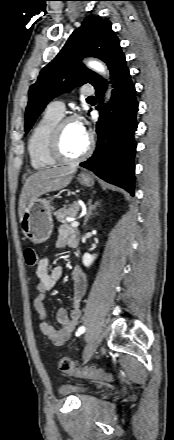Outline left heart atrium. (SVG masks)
Returning a JSON list of instances; mask_svg holds the SVG:
<instances>
[{"instance_id":"obj_1","label":"left heart atrium","mask_w":174,"mask_h":440,"mask_svg":"<svg viewBox=\"0 0 174 440\" xmlns=\"http://www.w3.org/2000/svg\"><path fill=\"white\" fill-rule=\"evenodd\" d=\"M74 122H75V124H76L78 130H79L82 134L87 135V130H86V126H85L84 122H83L82 120H80V119H78V120H76V121H74Z\"/></svg>"}]
</instances>
